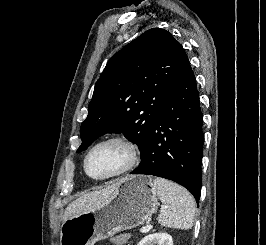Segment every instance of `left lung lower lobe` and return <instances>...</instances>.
<instances>
[{
  "label": "left lung lower lobe",
  "mask_w": 266,
  "mask_h": 245,
  "mask_svg": "<svg viewBox=\"0 0 266 245\" xmlns=\"http://www.w3.org/2000/svg\"><path fill=\"white\" fill-rule=\"evenodd\" d=\"M203 114L190 63L153 120L140 165L131 173L172 180L199 202L204 144Z\"/></svg>",
  "instance_id": "left-lung-lower-lobe-1"
}]
</instances>
